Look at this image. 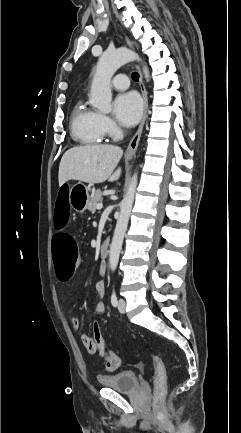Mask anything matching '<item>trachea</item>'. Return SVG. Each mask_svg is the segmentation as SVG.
Wrapping results in <instances>:
<instances>
[{"label":"trachea","mask_w":241,"mask_h":433,"mask_svg":"<svg viewBox=\"0 0 241 433\" xmlns=\"http://www.w3.org/2000/svg\"><path fill=\"white\" fill-rule=\"evenodd\" d=\"M132 79L137 82L139 80V74L137 72H133Z\"/></svg>","instance_id":"3493384b"}]
</instances>
